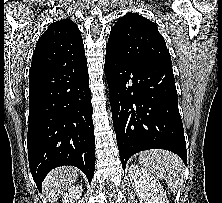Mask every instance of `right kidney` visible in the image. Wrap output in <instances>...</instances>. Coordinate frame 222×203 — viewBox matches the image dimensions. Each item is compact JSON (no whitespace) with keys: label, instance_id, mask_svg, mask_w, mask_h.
I'll list each match as a JSON object with an SVG mask.
<instances>
[{"label":"right kidney","instance_id":"right-kidney-1","mask_svg":"<svg viewBox=\"0 0 222 203\" xmlns=\"http://www.w3.org/2000/svg\"><path fill=\"white\" fill-rule=\"evenodd\" d=\"M82 191L83 189L80 185L69 188L68 191L64 193L62 203H76V201L80 199Z\"/></svg>","mask_w":222,"mask_h":203}]
</instances>
